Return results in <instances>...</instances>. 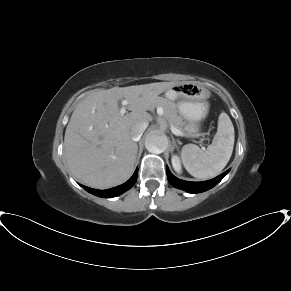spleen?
Masks as SVG:
<instances>
[{"label": "spleen", "mask_w": 291, "mask_h": 291, "mask_svg": "<svg viewBox=\"0 0 291 291\" xmlns=\"http://www.w3.org/2000/svg\"><path fill=\"white\" fill-rule=\"evenodd\" d=\"M234 127L229 116L222 112L212 143L202 151L197 145L182 147L181 157L186 170L195 178L209 179L217 176L227 165L234 147Z\"/></svg>", "instance_id": "1"}]
</instances>
